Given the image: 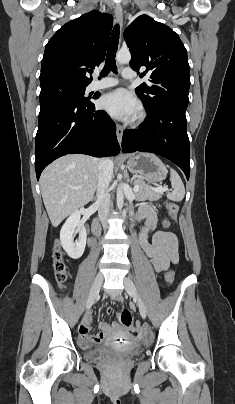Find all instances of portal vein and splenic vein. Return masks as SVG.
Here are the masks:
<instances>
[{"label": "portal vein and splenic vein", "instance_id": "obj_1", "mask_svg": "<svg viewBox=\"0 0 235 404\" xmlns=\"http://www.w3.org/2000/svg\"><path fill=\"white\" fill-rule=\"evenodd\" d=\"M138 190H139V186H135V187L133 188V191H134L135 193L138 192ZM152 190L155 191V192H164V191H167L168 188H167V187L159 186V187L152 188Z\"/></svg>", "mask_w": 235, "mask_h": 404}]
</instances>
